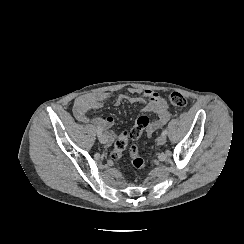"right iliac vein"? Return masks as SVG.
Here are the masks:
<instances>
[{
	"label": "right iliac vein",
	"instance_id": "right-iliac-vein-1",
	"mask_svg": "<svg viewBox=\"0 0 244 244\" xmlns=\"http://www.w3.org/2000/svg\"><path fill=\"white\" fill-rule=\"evenodd\" d=\"M99 141H100L102 144L107 143V142H108V137H107V135H106V134H101V135L99 136Z\"/></svg>",
	"mask_w": 244,
	"mask_h": 244
}]
</instances>
